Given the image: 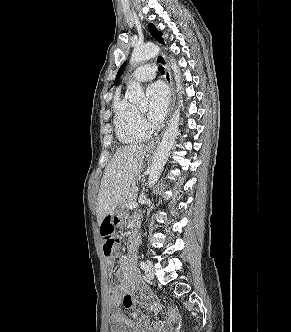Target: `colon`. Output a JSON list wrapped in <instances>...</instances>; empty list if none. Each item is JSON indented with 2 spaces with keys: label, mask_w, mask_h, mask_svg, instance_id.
<instances>
[{
  "label": "colon",
  "mask_w": 291,
  "mask_h": 332,
  "mask_svg": "<svg viewBox=\"0 0 291 332\" xmlns=\"http://www.w3.org/2000/svg\"><path fill=\"white\" fill-rule=\"evenodd\" d=\"M104 255L108 258H112L115 254L116 248L119 244V240L116 236V232L110 219H106L100 228Z\"/></svg>",
  "instance_id": "5ec220e1"
}]
</instances>
